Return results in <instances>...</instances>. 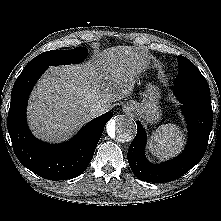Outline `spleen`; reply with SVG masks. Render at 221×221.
<instances>
[{
    "instance_id": "3e777b00",
    "label": "spleen",
    "mask_w": 221,
    "mask_h": 221,
    "mask_svg": "<svg viewBox=\"0 0 221 221\" xmlns=\"http://www.w3.org/2000/svg\"><path fill=\"white\" fill-rule=\"evenodd\" d=\"M183 141L182 131L177 125L165 124L152 133L148 149L157 158L167 159L180 152Z\"/></svg>"
}]
</instances>
